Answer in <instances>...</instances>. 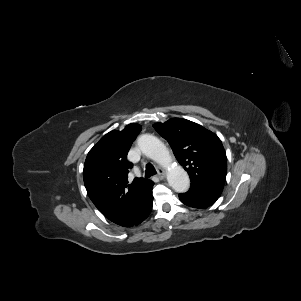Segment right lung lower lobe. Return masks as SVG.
Returning <instances> with one entry per match:
<instances>
[{
	"label": "right lung lower lobe",
	"mask_w": 301,
	"mask_h": 301,
	"mask_svg": "<svg viewBox=\"0 0 301 301\" xmlns=\"http://www.w3.org/2000/svg\"><path fill=\"white\" fill-rule=\"evenodd\" d=\"M154 183L151 182L148 189L146 190L139 206L135 210V212L121 225L123 227H131L134 225L140 224L147 216L150 214L152 210V188Z\"/></svg>",
	"instance_id": "obj_1"
}]
</instances>
